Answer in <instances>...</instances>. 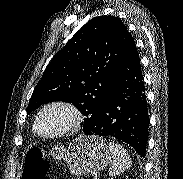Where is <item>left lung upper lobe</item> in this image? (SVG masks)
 Wrapping results in <instances>:
<instances>
[{
  "label": "left lung upper lobe",
  "mask_w": 183,
  "mask_h": 179,
  "mask_svg": "<svg viewBox=\"0 0 183 179\" xmlns=\"http://www.w3.org/2000/svg\"><path fill=\"white\" fill-rule=\"evenodd\" d=\"M128 34L118 17L91 19L50 61L34 88L27 114L48 102H71L86 116L87 134L108 99Z\"/></svg>",
  "instance_id": "5c2ea615"
}]
</instances>
